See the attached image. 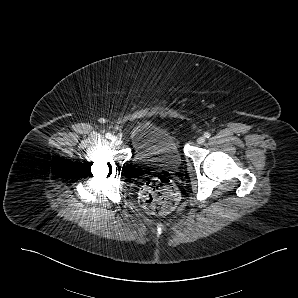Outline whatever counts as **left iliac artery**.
<instances>
[{
  "label": "left iliac artery",
  "mask_w": 298,
  "mask_h": 298,
  "mask_svg": "<svg viewBox=\"0 0 298 298\" xmlns=\"http://www.w3.org/2000/svg\"><path fill=\"white\" fill-rule=\"evenodd\" d=\"M210 136H211V134H210L209 132H205V133H204V137H205V138H209Z\"/></svg>",
  "instance_id": "1"
}]
</instances>
